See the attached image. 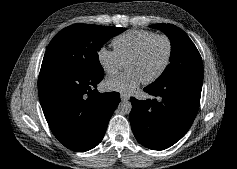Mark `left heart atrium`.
Here are the masks:
<instances>
[{
	"instance_id": "left-heart-atrium-1",
	"label": "left heart atrium",
	"mask_w": 237,
	"mask_h": 169,
	"mask_svg": "<svg viewBox=\"0 0 237 169\" xmlns=\"http://www.w3.org/2000/svg\"><path fill=\"white\" fill-rule=\"evenodd\" d=\"M142 82L141 78L133 70L110 76L105 85L109 90L128 92L135 89Z\"/></svg>"
}]
</instances>
